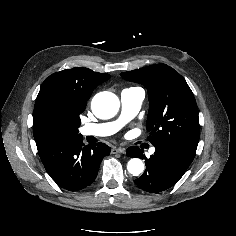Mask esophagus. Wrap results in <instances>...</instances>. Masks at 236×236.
I'll return each mask as SVG.
<instances>
[{
	"instance_id": "1",
	"label": "esophagus",
	"mask_w": 236,
	"mask_h": 236,
	"mask_svg": "<svg viewBox=\"0 0 236 236\" xmlns=\"http://www.w3.org/2000/svg\"><path fill=\"white\" fill-rule=\"evenodd\" d=\"M111 153H112V154H117V153L124 154V153H125V148H122V147H118V148L113 147V148L111 149Z\"/></svg>"
}]
</instances>
